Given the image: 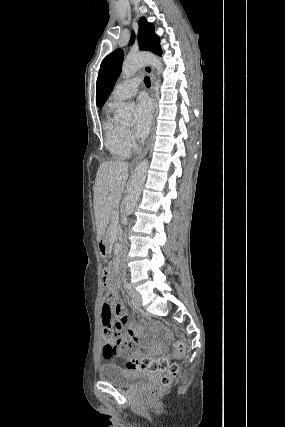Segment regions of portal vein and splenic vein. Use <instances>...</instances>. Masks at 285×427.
Instances as JSON below:
<instances>
[{
  "instance_id": "obj_1",
  "label": "portal vein and splenic vein",
  "mask_w": 285,
  "mask_h": 427,
  "mask_svg": "<svg viewBox=\"0 0 285 427\" xmlns=\"http://www.w3.org/2000/svg\"><path fill=\"white\" fill-rule=\"evenodd\" d=\"M113 213L115 214V217H116V219H117V218H118V212H117V211H114Z\"/></svg>"
}]
</instances>
